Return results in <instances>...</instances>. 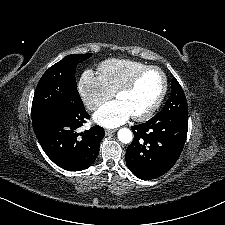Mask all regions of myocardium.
<instances>
[{
  "label": "myocardium",
  "mask_w": 225,
  "mask_h": 225,
  "mask_svg": "<svg viewBox=\"0 0 225 225\" xmlns=\"http://www.w3.org/2000/svg\"><path fill=\"white\" fill-rule=\"evenodd\" d=\"M151 70L156 71L161 75V78H162L161 90L158 97L156 98L152 106L147 111H145L142 114L132 116V118L135 121H144L149 119L150 117L154 115V113L157 111L160 104L162 103L167 91V78L163 70L153 65L145 66L141 68L140 70H138L125 84H123L120 88H118L117 91L114 93V96L117 98L120 94L126 93L132 90L134 86L136 85V83L138 82V80L140 79V77L147 71H151Z\"/></svg>",
  "instance_id": "f54148a6"
}]
</instances>
